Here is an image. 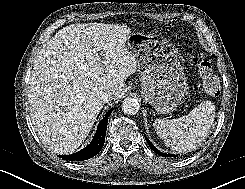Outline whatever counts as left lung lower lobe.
Wrapping results in <instances>:
<instances>
[{
  "label": "left lung lower lobe",
  "mask_w": 245,
  "mask_h": 189,
  "mask_svg": "<svg viewBox=\"0 0 245 189\" xmlns=\"http://www.w3.org/2000/svg\"><path fill=\"white\" fill-rule=\"evenodd\" d=\"M145 139H146L147 143L149 144V146L151 147V149L154 152H156L158 155L163 156V157H174V156H176V155H173V154H165V153L160 152L158 149H156L154 147V145L149 141L148 138L145 137Z\"/></svg>",
  "instance_id": "obj_1"
}]
</instances>
